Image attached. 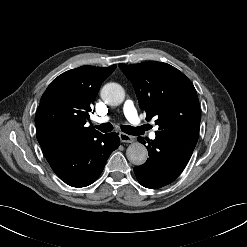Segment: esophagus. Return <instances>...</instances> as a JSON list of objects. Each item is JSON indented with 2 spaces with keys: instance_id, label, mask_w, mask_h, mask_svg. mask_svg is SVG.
<instances>
[{
  "instance_id": "34e87169",
  "label": "esophagus",
  "mask_w": 247,
  "mask_h": 247,
  "mask_svg": "<svg viewBox=\"0 0 247 247\" xmlns=\"http://www.w3.org/2000/svg\"><path fill=\"white\" fill-rule=\"evenodd\" d=\"M119 138L121 140V142H125V143H132L134 142V137L130 136L128 134H125L123 132L119 133Z\"/></svg>"
}]
</instances>
